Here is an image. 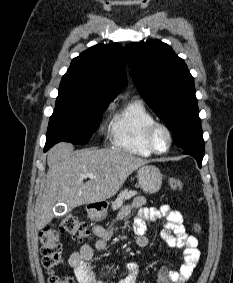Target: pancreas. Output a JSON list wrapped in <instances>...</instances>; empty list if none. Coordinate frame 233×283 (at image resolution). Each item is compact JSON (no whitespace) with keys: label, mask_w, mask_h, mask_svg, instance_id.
<instances>
[{"label":"pancreas","mask_w":233,"mask_h":283,"mask_svg":"<svg viewBox=\"0 0 233 283\" xmlns=\"http://www.w3.org/2000/svg\"><path fill=\"white\" fill-rule=\"evenodd\" d=\"M137 194V191L135 190H128L125 189L119 193L116 200L112 203V208L114 210L118 209L120 206H122L123 202L125 200H128L132 197H134Z\"/></svg>","instance_id":"pancreas-1"}]
</instances>
